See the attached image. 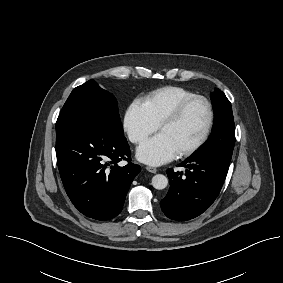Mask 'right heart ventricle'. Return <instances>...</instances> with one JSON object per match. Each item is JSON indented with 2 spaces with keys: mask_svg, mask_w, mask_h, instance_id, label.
<instances>
[{
  "mask_svg": "<svg viewBox=\"0 0 283 283\" xmlns=\"http://www.w3.org/2000/svg\"><path fill=\"white\" fill-rule=\"evenodd\" d=\"M196 95L178 86H167L147 94L143 103L151 118L159 125L185 99Z\"/></svg>",
  "mask_w": 283,
  "mask_h": 283,
  "instance_id": "e07e8e85",
  "label": "right heart ventricle"
}]
</instances>
